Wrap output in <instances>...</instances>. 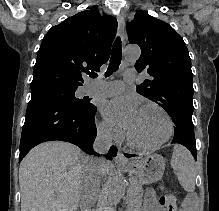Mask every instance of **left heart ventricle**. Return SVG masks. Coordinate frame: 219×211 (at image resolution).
Masks as SVG:
<instances>
[{"instance_id":"left-heart-ventricle-1","label":"left heart ventricle","mask_w":219,"mask_h":211,"mask_svg":"<svg viewBox=\"0 0 219 211\" xmlns=\"http://www.w3.org/2000/svg\"><path fill=\"white\" fill-rule=\"evenodd\" d=\"M167 130V122L163 113L154 107H146L139 113L127 130L130 136L139 143L152 144L161 140Z\"/></svg>"}]
</instances>
